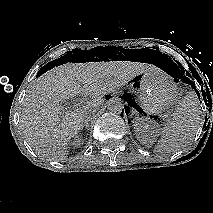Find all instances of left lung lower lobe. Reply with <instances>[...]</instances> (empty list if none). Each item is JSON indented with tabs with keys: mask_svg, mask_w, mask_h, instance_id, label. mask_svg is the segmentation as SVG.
Returning <instances> with one entry per match:
<instances>
[{
	"mask_svg": "<svg viewBox=\"0 0 213 213\" xmlns=\"http://www.w3.org/2000/svg\"><path fill=\"white\" fill-rule=\"evenodd\" d=\"M192 86V88H194L195 89V85H191ZM195 91H196V93L198 92L196 89H195ZM199 93H197V95H198ZM127 96H128V94L127 93H124V95L121 97L123 100H124V102L125 101H127L128 99H127ZM122 114V113H121Z\"/></svg>",
	"mask_w": 213,
	"mask_h": 213,
	"instance_id": "obj_1",
	"label": "left lung lower lobe"
}]
</instances>
